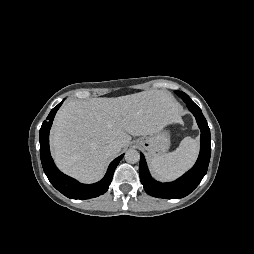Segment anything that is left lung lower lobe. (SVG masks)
<instances>
[{
	"mask_svg": "<svg viewBox=\"0 0 254 254\" xmlns=\"http://www.w3.org/2000/svg\"><path fill=\"white\" fill-rule=\"evenodd\" d=\"M186 105L195 116L197 124L201 130L199 157L195 165L179 179L169 183H160L151 177L146 160L143 154H141L139 164L140 179L146 193L153 197L164 199L183 198L190 194L199 185L207 172L211 156L210 129L201 109L194 102H187Z\"/></svg>",
	"mask_w": 254,
	"mask_h": 254,
	"instance_id": "left-lung-lower-lobe-1",
	"label": "left lung lower lobe"
}]
</instances>
